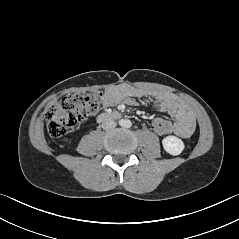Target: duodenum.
Returning a JSON list of instances; mask_svg holds the SVG:
<instances>
[{"label": "duodenum", "instance_id": "410a0bca", "mask_svg": "<svg viewBox=\"0 0 239 239\" xmlns=\"http://www.w3.org/2000/svg\"><path fill=\"white\" fill-rule=\"evenodd\" d=\"M121 118V113L118 111L103 112L97 117L98 122H104L108 120H116Z\"/></svg>", "mask_w": 239, "mask_h": 239}]
</instances>
